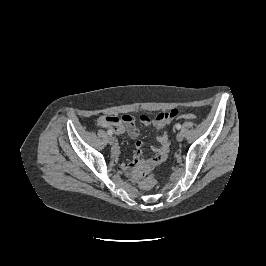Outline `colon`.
<instances>
[{
	"label": "colon",
	"instance_id": "1",
	"mask_svg": "<svg viewBox=\"0 0 266 266\" xmlns=\"http://www.w3.org/2000/svg\"><path fill=\"white\" fill-rule=\"evenodd\" d=\"M180 117L182 119H185V120H195L196 119V115L192 114V113H183ZM156 184H157V181L154 178V176H152V175L145 177L140 182V186L144 190H150V189L154 188Z\"/></svg>",
	"mask_w": 266,
	"mask_h": 266
}]
</instances>
